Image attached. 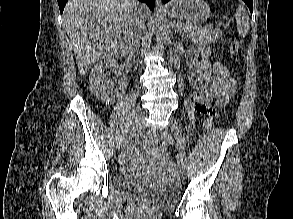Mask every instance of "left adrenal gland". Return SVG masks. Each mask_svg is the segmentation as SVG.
Here are the masks:
<instances>
[{"label": "left adrenal gland", "instance_id": "1", "mask_svg": "<svg viewBox=\"0 0 293 219\" xmlns=\"http://www.w3.org/2000/svg\"><path fill=\"white\" fill-rule=\"evenodd\" d=\"M172 31L174 32V34L179 32V30L175 26V23L172 24Z\"/></svg>", "mask_w": 293, "mask_h": 219}]
</instances>
